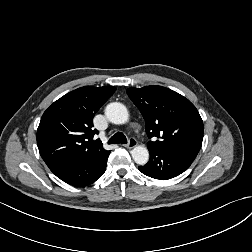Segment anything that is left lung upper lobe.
Listing matches in <instances>:
<instances>
[{
  "mask_svg": "<svg viewBox=\"0 0 252 252\" xmlns=\"http://www.w3.org/2000/svg\"><path fill=\"white\" fill-rule=\"evenodd\" d=\"M127 94L145 119L146 133L156 141L149 151H184L197 155L203 140V121L195 106L162 86L128 88Z\"/></svg>",
  "mask_w": 252,
  "mask_h": 252,
  "instance_id": "left-lung-upper-lobe-1",
  "label": "left lung upper lobe"
}]
</instances>
